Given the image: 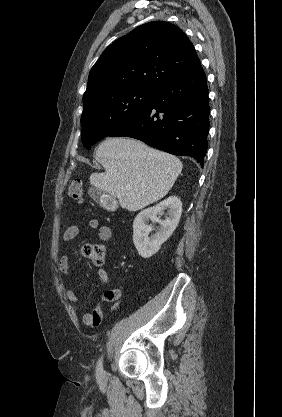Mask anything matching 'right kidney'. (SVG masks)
I'll return each instance as SVG.
<instances>
[{
  "mask_svg": "<svg viewBox=\"0 0 282 417\" xmlns=\"http://www.w3.org/2000/svg\"><path fill=\"white\" fill-rule=\"evenodd\" d=\"M161 211H167L168 217L165 221H160L157 215ZM182 213V202L178 196H168L155 206H149V209L141 211L134 219L133 223V243L138 251V255L143 259H150L155 253H158L162 243H165L175 231ZM160 223L161 227L158 233L148 237L152 227L147 225V221Z\"/></svg>",
  "mask_w": 282,
  "mask_h": 417,
  "instance_id": "ca27d5eb",
  "label": "right kidney"
}]
</instances>
